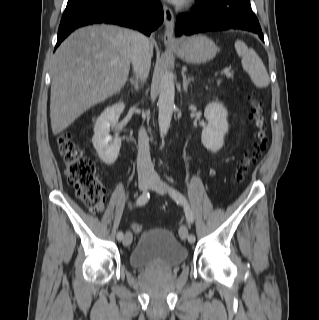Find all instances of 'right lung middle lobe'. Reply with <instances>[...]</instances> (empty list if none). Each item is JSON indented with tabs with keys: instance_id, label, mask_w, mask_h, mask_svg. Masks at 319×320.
Here are the masks:
<instances>
[{
	"instance_id": "dd1d6c3e",
	"label": "right lung middle lobe",
	"mask_w": 319,
	"mask_h": 320,
	"mask_svg": "<svg viewBox=\"0 0 319 320\" xmlns=\"http://www.w3.org/2000/svg\"><path fill=\"white\" fill-rule=\"evenodd\" d=\"M81 1L82 0H68L67 7L73 6Z\"/></svg>"
}]
</instances>
